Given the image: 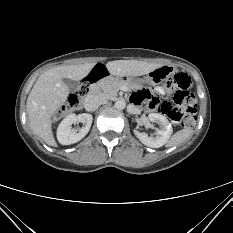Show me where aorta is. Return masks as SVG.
<instances>
[{"label":"aorta","instance_id":"1","mask_svg":"<svg viewBox=\"0 0 233 233\" xmlns=\"http://www.w3.org/2000/svg\"><path fill=\"white\" fill-rule=\"evenodd\" d=\"M126 106V103L124 100L122 99H119L115 102L114 104V107L117 109V110H123Z\"/></svg>","mask_w":233,"mask_h":233}]
</instances>
